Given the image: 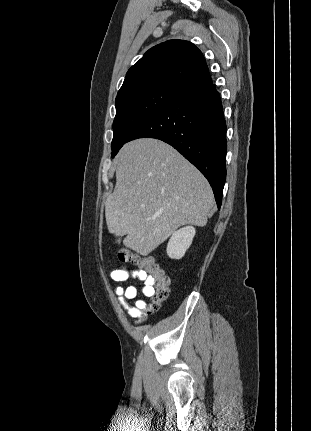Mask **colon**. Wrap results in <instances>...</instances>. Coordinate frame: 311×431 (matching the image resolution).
<instances>
[{"label":"colon","mask_w":311,"mask_h":431,"mask_svg":"<svg viewBox=\"0 0 311 431\" xmlns=\"http://www.w3.org/2000/svg\"><path fill=\"white\" fill-rule=\"evenodd\" d=\"M117 257L122 262H134L145 269L151 279L150 313L158 310L169 295L170 280L164 270L152 256L139 257L125 248L117 250Z\"/></svg>","instance_id":"5ec220e1"}]
</instances>
